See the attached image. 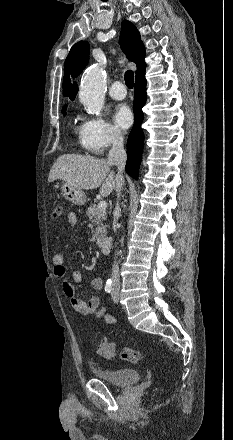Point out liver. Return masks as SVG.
<instances>
[{"label": "liver", "mask_w": 233, "mask_h": 440, "mask_svg": "<svg viewBox=\"0 0 233 440\" xmlns=\"http://www.w3.org/2000/svg\"><path fill=\"white\" fill-rule=\"evenodd\" d=\"M111 165L103 158L75 154L61 155L53 164L48 181L61 179L81 190L100 187V194L108 196L117 183V175L110 172Z\"/></svg>", "instance_id": "1"}]
</instances>
